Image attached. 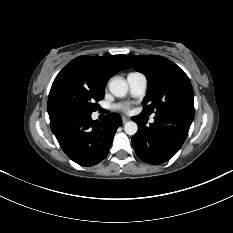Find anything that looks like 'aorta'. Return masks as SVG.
Instances as JSON below:
<instances>
[{"label":"aorta","mask_w":233,"mask_h":233,"mask_svg":"<svg viewBox=\"0 0 233 233\" xmlns=\"http://www.w3.org/2000/svg\"><path fill=\"white\" fill-rule=\"evenodd\" d=\"M109 91L115 97H124L128 92V84L122 78H114L109 82ZM138 125L134 121L126 122L124 125V131L128 135H134L137 133Z\"/></svg>","instance_id":"762f6f07"}]
</instances>
